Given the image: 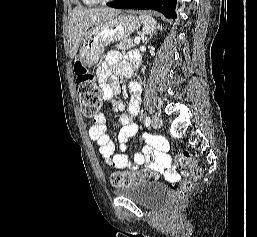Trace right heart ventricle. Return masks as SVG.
<instances>
[{"instance_id": "e07e8e85", "label": "right heart ventricle", "mask_w": 257, "mask_h": 237, "mask_svg": "<svg viewBox=\"0 0 257 237\" xmlns=\"http://www.w3.org/2000/svg\"><path fill=\"white\" fill-rule=\"evenodd\" d=\"M82 3L87 6H93L96 4L95 0H82Z\"/></svg>"}]
</instances>
